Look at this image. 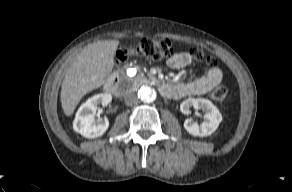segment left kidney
I'll use <instances>...</instances> for the list:
<instances>
[{"instance_id":"1","label":"left kidney","mask_w":292,"mask_h":192,"mask_svg":"<svg viewBox=\"0 0 292 192\" xmlns=\"http://www.w3.org/2000/svg\"><path fill=\"white\" fill-rule=\"evenodd\" d=\"M191 107L202 109L205 112L204 121L199 125L188 118L184 122L185 130L193 136L205 137L211 135L222 121V115L217 107L208 99L188 98L181 103L180 110L183 114H189Z\"/></svg>"}]
</instances>
